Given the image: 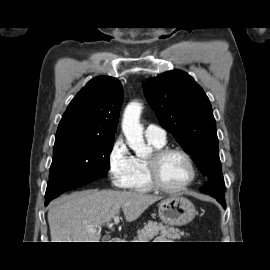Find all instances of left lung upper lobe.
Returning <instances> with one entry per match:
<instances>
[{
    "label": "left lung upper lobe",
    "mask_w": 270,
    "mask_h": 270,
    "mask_svg": "<svg viewBox=\"0 0 270 270\" xmlns=\"http://www.w3.org/2000/svg\"><path fill=\"white\" fill-rule=\"evenodd\" d=\"M144 94L160 125L172 133L211 180L222 177L212 107L203 89L181 70L165 72L144 83Z\"/></svg>",
    "instance_id": "obj_1"
}]
</instances>
